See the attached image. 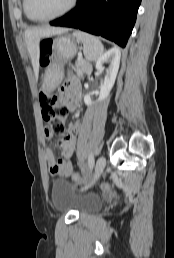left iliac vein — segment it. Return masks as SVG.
Listing matches in <instances>:
<instances>
[{"label": "left iliac vein", "mask_w": 174, "mask_h": 258, "mask_svg": "<svg viewBox=\"0 0 174 258\" xmlns=\"http://www.w3.org/2000/svg\"><path fill=\"white\" fill-rule=\"evenodd\" d=\"M106 165V159L101 156L98 158V160L96 161V165H95V171H94V175L92 180L84 187L83 190H87L89 189L91 186H93L96 181L99 179L100 175L102 174V172L104 171Z\"/></svg>", "instance_id": "4c4485c4"}]
</instances>
